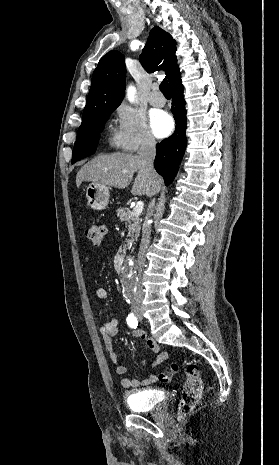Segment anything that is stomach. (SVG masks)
<instances>
[{
	"instance_id": "1",
	"label": "stomach",
	"mask_w": 279,
	"mask_h": 465,
	"mask_svg": "<svg viewBox=\"0 0 279 465\" xmlns=\"http://www.w3.org/2000/svg\"><path fill=\"white\" fill-rule=\"evenodd\" d=\"M109 197V188L104 185L91 183L86 187L87 202L93 210H104L108 205Z\"/></svg>"
}]
</instances>
